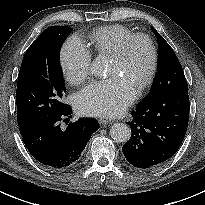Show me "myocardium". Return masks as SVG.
I'll return each instance as SVG.
<instances>
[{"instance_id": "f54148a6", "label": "myocardium", "mask_w": 205, "mask_h": 205, "mask_svg": "<svg viewBox=\"0 0 205 205\" xmlns=\"http://www.w3.org/2000/svg\"><path fill=\"white\" fill-rule=\"evenodd\" d=\"M140 40L145 42L149 48L150 65H149V69H148L146 76L137 86V89L139 91L144 90L146 87H148L151 84V82L153 81V79L155 77L156 71H157L158 51H157V47H156L153 39L146 34H142V33L134 34V35L130 36L129 38H127L122 43V45L117 50V52L113 55V59L115 61L119 62V61L124 60L127 57L132 45L135 42L140 41Z\"/></svg>"}]
</instances>
